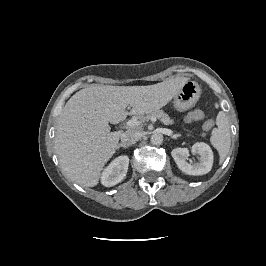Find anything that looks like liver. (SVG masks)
<instances>
[{
  "label": "liver",
  "mask_w": 266,
  "mask_h": 266,
  "mask_svg": "<svg viewBox=\"0 0 266 266\" xmlns=\"http://www.w3.org/2000/svg\"><path fill=\"white\" fill-rule=\"evenodd\" d=\"M188 79H167L148 86L91 84L65 104L57 125L55 149L64 174L81 186L98 184L115 153L122 131L110 132L127 115H144L165 106ZM131 106L130 112L126 111Z\"/></svg>",
  "instance_id": "obj_1"
}]
</instances>
